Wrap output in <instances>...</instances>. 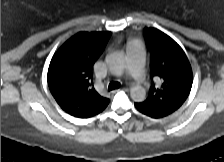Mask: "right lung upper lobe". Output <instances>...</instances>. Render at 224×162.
Segmentation results:
<instances>
[{
	"instance_id": "obj_1",
	"label": "right lung upper lobe",
	"mask_w": 224,
	"mask_h": 162,
	"mask_svg": "<svg viewBox=\"0 0 224 162\" xmlns=\"http://www.w3.org/2000/svg\"><path fill=\"white\" fill-rule=\"evenodd\" d=\"M110 36L111 32H80L66 41L50 62V91L59 106L74 117H92L110 102L92 86V67Z\"/></svg>"
}]
</instances>
